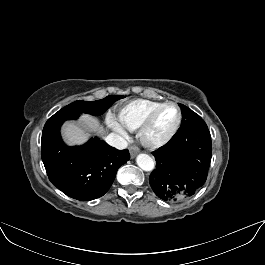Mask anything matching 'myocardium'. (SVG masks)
I'll use <instances>...</instances> for the list:
<instances>
[{
    "label": "myocardium",
    "instance_id": "f54148a6",
    "mask_svg": "<svg viewBox=\"0 0 265 265\" xmlns=\"http://www.w3.org/2000/svg\"><path fill=\"white\" fill-rule=\"evenodd\" d=\"M165 106H172L177 111V119L173 127L169 130L167 134H165L162 138L158 140H151L147 136L148 129L150 128L152 121L154 117L156 116L157 112L165 107ZM182 121V112L179 108V106L171 101L163 102L155 106L152 110L148 112V114L143 119L142 123L140 124L138 128V138L141 142V144L147 148L150 149H157L164 145H166L177 133Z\"/></svg>",
    "mask_w": 265,
    "mask_h": 265
}]
</instances>
